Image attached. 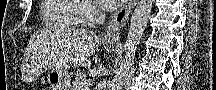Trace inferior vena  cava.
<instances>
[{"label": "inferior vena cava", "instance_id": "obj_1", "mask_svg": "<svg viewBox=\"0 0 216 90\" xmlns=\"http://www.w3.org/2000/svg\"><path fill=\"white\" fill-rule=\"evenodd\" d=\"M99 18H106V14H104V12H100Z\"/></svg>", "mask_w": 216, "mask_h": 90}]
</instances>
